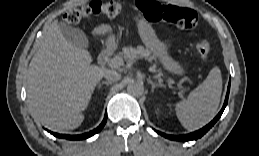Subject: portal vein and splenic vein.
Instances as JSON below:
<instances>
[{"label": "portal vein and splenic vein", "mask_w": 259, "mask_h": 156, "mask_svg": "<svg viewBox=\"0 0 259 156\" xmlns=\"http://www.w3.org/2000/svg\"><path fill=\"white\" fill-rule=\"evenodd\" d=\"M121 64H122V61L116 58H112L109 62V65L113 67H119L121 66Z\"/></svg>", "instance_id": "obj_1"}]
</instances>
